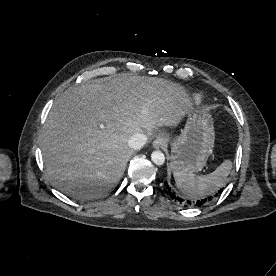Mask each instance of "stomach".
Instances as JSON below:
<instances>
[{"label":"stomach","instance_id":"stomach-1","mask_svg":"<svg viewBox=\"0 0 276 276\" xmlns=\"http://www.w3.org/2000/svg\"><path fill=\"white\" fill-rule=\"evenodd\" d=\"M214 141L212 116L205 111H191L184 129L172 143L171 167L174 171L200 172L212 154Z\"/></svg>","mask_w":276,"mask_h":276}]
</instances>
